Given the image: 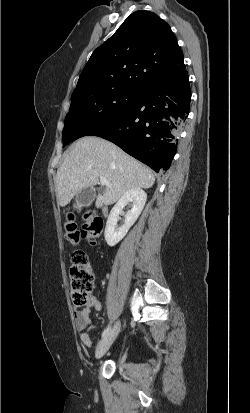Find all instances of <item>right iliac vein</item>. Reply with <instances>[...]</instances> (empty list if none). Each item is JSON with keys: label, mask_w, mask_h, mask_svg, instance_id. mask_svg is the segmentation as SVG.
I'll return each instance as SVG.
<instances>
[{"label": "right iliac vein", "mask_w": 250, "mask_h": 413, "mask_svg": "<svg viewBox=\"0 0 250 413\" xmlns=\"http://www.w3.org/2000/svg\"><path fill=\"white\" fill-rule=\"evenodd\" d=\"M120 331V322H116L113 328L108 332V334L99 342L95 357L96 359H100L110 348L114 340L116 339L118 333Z\"/></svg>", "instance_id": "1"}]
</instances>
